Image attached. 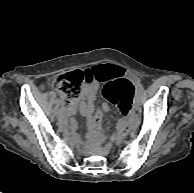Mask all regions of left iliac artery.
I'll return each mask as SVG.
<instances>
[{
    "label": "left iliac artery",
    "instance_id": "left-iliac-artery-1",
    "mask_svg": "<svg viewBox=\"0 0 194 193\" xmlns=\"http://www.w3.org/2000/svg\"><path fill=\"white\" fill-rule=\"evenodd\" d=\"M140 88L143 90V86L142 85H140ZM141 89H138L136 92H141Z\"/></svg>",
    "mask_w": 194,
    "mask_h": 193
}]
</instances>
